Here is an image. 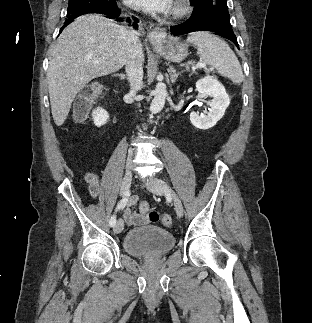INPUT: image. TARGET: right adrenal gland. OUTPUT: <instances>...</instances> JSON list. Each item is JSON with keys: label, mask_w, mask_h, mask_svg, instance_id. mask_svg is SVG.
Returning <instances> with one entry per match:
<instances>
[{"label": "right adrenal gland", "mask_w": 312, "mask_h": 323, "mask_svg": "<svg viewBox=\"0 0 312 323\" xmlns=\"http://www.w3.org/2000/svg\"><path fill=\"white\" fill-rule=\"evenodd\" d=\"M117 76H119V78H121V80H126V78H127L126 74H117Z\"/></svg>", "instance_id": "right-adrenal-gland-1"}]
</instances>
